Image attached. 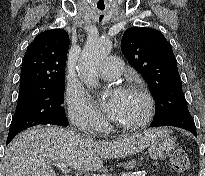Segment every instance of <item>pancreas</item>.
<instances>
[{"mask_svg": "<svg viewBox=\"0 0 205 176\" xmlns=\"http://www.w3.org/2000/svg\"><path fill=\"white\" fill-rule=\"evenodd\" d=\"M124 176H138V175H134L133 173H127Z\"/></svg>", "mask_w": 205, "mask_h": 176, "instance_id": "1", "label": "pancreas"}]
</instances>
